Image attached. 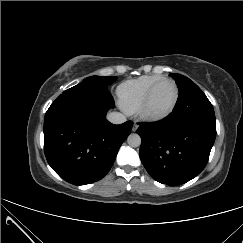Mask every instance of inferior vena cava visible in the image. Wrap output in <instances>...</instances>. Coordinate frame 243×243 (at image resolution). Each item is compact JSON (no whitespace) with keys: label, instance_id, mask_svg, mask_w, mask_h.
I'll list each match as a JSON object with an SVG mask.
<instances>
[{"label":"inferior vena cava","instance_id":"602c4592","mask_svg":"<svg viewBox=\"0 0 243 243\" xmlns=\"http://www.w3.org/2000/svg\"><path fill=\"white\" fill-rule=\"evenodd\" d=\"M107 119L113 124H121L126 121V117L119 112L109 113Z\"/></svg>","mask_w":243,"mask_h":243}]
</instances>
